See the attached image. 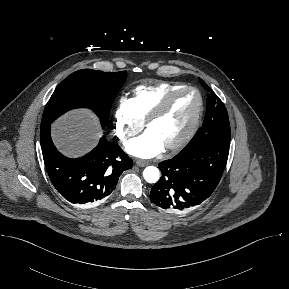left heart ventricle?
<instances>
[{"label": "left heart ventricle", "instance_id": "b2bd125f", "mask_svg": "<svg viewBox=\"0 0 289 289\" xmlns=\"http://www.w3.org/2000/svg\"><path fill=\"white\" fill-rule=\"evenodd\" d=\"M198 108V98L187 91L174 98L166 112L148 128L157 139L167 146L177 142L189 129Z\"/></svg>", "mask_w": 289, "mask_h": 289}]
</instances>
